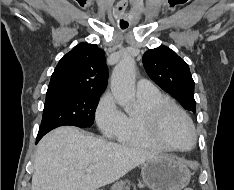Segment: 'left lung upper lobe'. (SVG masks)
Returning a JSON list of instances; mask_svg holds the SVG:
<instances>
[{
    "instance_id": "1",
    "label": "left lung upper lobe",
    "mask_w": 234,
    "mask_h": 190,
    "mask_svg": "<svg viewBox=\"0 0 234 190\" xmlns=\"http://www.w3.org/2000/svg\"><path fill=\"white\" fill-rule=\"evenodd\" d=\"M149 77L174 96L185 109L196 112L194 81L188 64L166 46L150 49L143 55Z\"/></svg>"
}]
</instances>
